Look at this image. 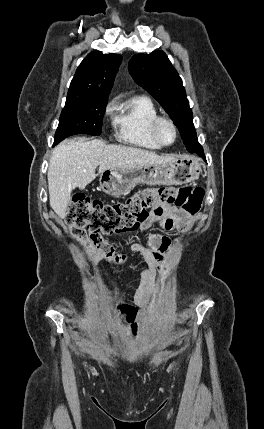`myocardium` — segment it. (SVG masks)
Returning a JSON list of instances; mask_svg holds the SVG:
<instances>
[{"label":"myocardium","mask_w":264,"mask_h":429,"mask_svg":"<svg viewBox=\"0 0 264 429\" xmlns=\"http://www.w3.org/2000/svg\"><path fill=\"white\" fill-rule=\"evenodd\" d=\"M163 123H167L171 126L173 133H174V137L173 140L169 143L165 142L162 140L161 136H160V127ZM150 131H151V135L154 138V140L160 144L161 146H170L172 144L175 143L177 136H178V129L177 126L175 124V122L166 116H158L156 117L153 122L151 123V127H150Z\"/></svg>","instance_id":"obj_1"}]
</instances>
